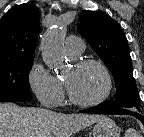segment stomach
I'll return each mask as SVG.
<instances>
[{"label": "stomach", "mask_w": 144, "mask_h": 137, "mask_svg": "<svg viewBox=\"0 0 144 137\" xmlns=\"http://www.w3.org/2000/svg\"><path fill=\"white\" fill-rule=\"evenodd\" d=\"M93 137H120V129L112 119L102 116L93 127Z\"/></svg>", "instance_id": "0dacf381"}]
</instances>
